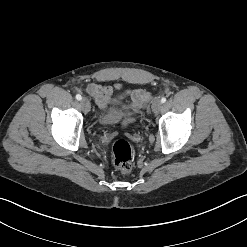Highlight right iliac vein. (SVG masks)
<instances>
[{
  "mask_svg": "<svg viewBox=\"0 0 247 247\" xmlns=\"http://www.w3.org/2000/svg\"><path fill=\"white\" fill-rule=\"evenodd\" d=\"M81 105L85 112H88L90 110V102L87 98L81 99Z\"/></svg>",
  "mask_w": 247,
  "mask_h": 247,
  "instance_id": "1",
  "label": "right iliac vein"
}]
</instances>
